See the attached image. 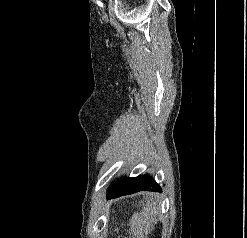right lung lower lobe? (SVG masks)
Listing matches in <instances>:
<instances>
[{"label":"right lung lower lobe","mask_w":247,"mask_h":238,"mask_svg":"<svg viewBox=\"0 0 247 238\" xmlns=\"http://www.w3.org/2000/svg\"><path fill=\"white\" fill-rule=\"evenodd\" d=\"M138 191H161L160 186L148 174L126 178L115 183L108 191L107 198H116Z\"/></svg>","instance_id":"right-lung-lower-lobe-1"}]
</instances>
